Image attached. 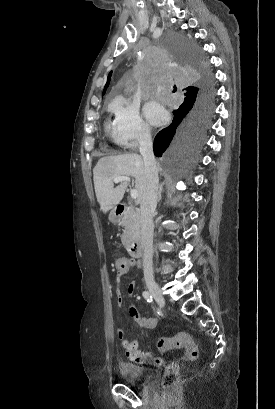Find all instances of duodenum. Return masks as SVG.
I'll use <instances>...</instances> for the list:
<instances>
[{"label": "duodenum", "mask_w": 275, "mask_h": 409, "mask_svg": "<svg viewBox=\"0 0 275 409\" xmlns=\"http://www.w3.org/2000/svg\"><path fill=\"white\" fill-rule=\"evenodd\" d=\"M126 211L125 205H118L115 209V216L120 217ZM129 253L134 258H141L143 255V242L139 236L135 237L128 245Z\"/></svg>", "instance_id": "duodenum-1"}]
</instances>
